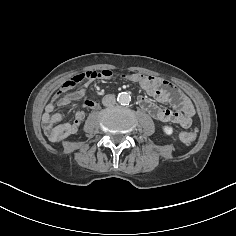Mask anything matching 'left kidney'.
<instances>
[{
	"label": "left kidney",
	"instance_id": "5707ae66",
	"mask_svg": "<svg viewBox=\"0 0 236 236\" xmlns=\"http://www.w3.org/2000/svg\"><path fill=\"white\" fill-rule=\"evenodd\" d=\"M163 131L166 135H171L173 133V128L171 126H163Z\"/></svg>",
	"mask_w": 236,
	"mask_h": 236
}]
</instances>
